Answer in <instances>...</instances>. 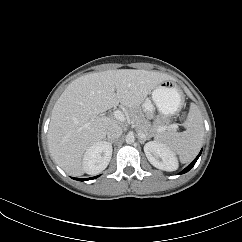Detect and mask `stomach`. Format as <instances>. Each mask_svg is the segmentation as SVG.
<instances>
[{"label":"stomach","instance_id":"stomach-1","mask_svg":"<svg viewBox=\"0 0 242 242\" xmlns=\"http://www.w3.org/2000/svg\"><path fill=\"white\" fill-rule=\"evenodd\" d=\"M152 100L163 118L177 114L184 104L182 90L171 81L160 83L152 92Z\"/></svg>","mask_w":242,"mask_h":242}]
</instances>
